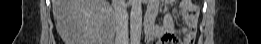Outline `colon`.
<instances>
[{
	"instance_id": "5ec220e1",
	"label": "colon",
	"mask_w": 261,
	"mask_h": 44,
	"mask_svg": "<svg viewBox=\"0 0 261 44\" xmlns=\"http://www.w3.org/2000/svg\"><path fill=\"white\" fill-rule=\"evenodd\" d=\"M180 5L181 6H192L193 2L192 1H181Z\"/></svg>"
}]
</instances>
